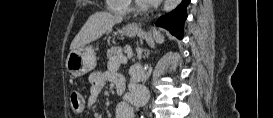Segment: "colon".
<instances>
[{"label": "colon", "mask_w": 273, "mask_h": 118, "mask_svg": "<svg viewBox=\"0 0 273 118\" xmlns=\"http://www.w3.org/2000/svg\"><path fill=\"white\" fill-rule=\"evenodd\" d=\"M71 109L75 113H80L84 109V97L79 90H73L70 94Z\"/></svg>", "instance_id": "5ec220e1"}]
</instances>
